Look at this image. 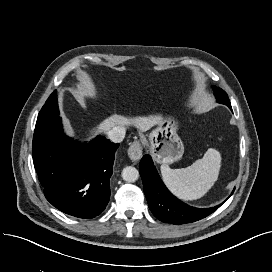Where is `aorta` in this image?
<instances>
[{
    "instance_id": "1",
    "label": "aorta",
    "mask_w": 272,
    "mask_h": 272,
    "mask_svg": "<svg viewBox=\"0 0 272 272\" xmlns=\"http://www.w3.org/2000/svg\"><path fill=\"white\" fill-rule=\"evenodd\" d=\"M122 178L126 182H135L139 178V171L132 166H127L122 170Z\"/></svg>"
}]
</instances>
